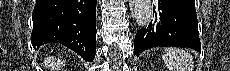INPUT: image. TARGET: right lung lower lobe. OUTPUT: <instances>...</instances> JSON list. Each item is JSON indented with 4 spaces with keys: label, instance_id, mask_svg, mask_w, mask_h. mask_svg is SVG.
Returning a JSON list of instances; mask_svg holds the SVG:
<instances>
[{
    "label": "right lung lower lobe",
    "instance_id": "obj_1",
    "mask_svg": "<svg viewBox=\"0 0 230 71\" xmlns=\"http://www.w3.org/2000/svg\"><path fill=\"white\" fill-rule=\"evenodd\" d=\"M97 0H37L33 10L31 43L35 49L60 43L86 61L96 54Z\"/></svg>",
    "mask_w": 230,
    "mask_h": 71
}]
</instances>
